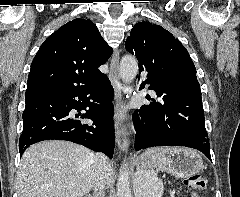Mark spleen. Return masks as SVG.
<instances>
[{
	"instance_id": "obj_1",
	"label": "spleen",
	"mask_w": 240,
	"mask_h": 197,
	"mask_svg": "<svg viewBox=\"0 0 240 197\" xmlns=\"http://www.w3.org/2000/svg\"><path fill=\"white\" fill-rule=\"evenodd\" d=\"M160 150V149H155ZM172 149H161L163 154H166L168 151ZM156 172L153 170H149L146 173V193L145 197H161L163 193V184L157 182L156 179Z\"/></svg>"
}]
</instances>
